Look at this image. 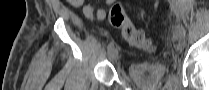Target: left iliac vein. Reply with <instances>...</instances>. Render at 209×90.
Wrapping results in <instances>:
<instances>
[{
  "label": "left iliac vein",
  "mask_w": 209,
  "mask_h": 90,
  "mask_svg": "<svg viewBox=\"0 0 209 90\" xmlns=\"http://www.w3.org/2000/svg\"><path fill=\"white\" fill-rule=\"evenodd\" d=\"M181 32H182V27H181V21H176V29L173 31V37L174 39H181ZM182 45L179 44V48H181Z\"/></svg>",
  "instance_id": "left-iliac-vein-1"
}]
</instances>
